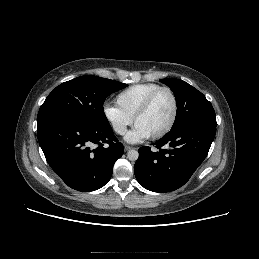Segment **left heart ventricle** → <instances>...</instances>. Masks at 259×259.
I'll return each instance as SVG.
<instances>
[{"instance_id":"1","label":"left heart ventricle","mask_w":259,"mask_h":259,"mask_svg":"<svg viewBox=\"0 0 259 259\" xmlns=\"http://www.w3.org/2000/svg\"><path fill=\"white\" fill-rule=\"evenodd\" d=\"M173 113V101L166 91L160 92L151 104L148 112L140 117L136 126L149 136L161 131L170 121Z\"/></svg>"}]
</instances>
